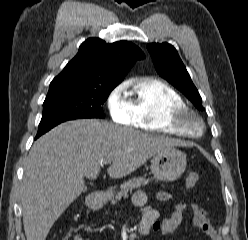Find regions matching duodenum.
I'll use <instances>...</instances> for the list:
<instances>
[{"label":"duodenum","instance_id":"410a0bca","mask_svg":"<svg viewBox=\"0 0 248 240\" xmlns=\"http://www.w3.org/2000/svg\"><path fill=\"white\" fill-rule=\"evenodd\" d=\"M100 206V193L94 192L90 195L88 201V207L91 209H97ZM142 233H146V229H141Z\"/></svg>","mask_w":248,"mask_h":240}]
</instances>
